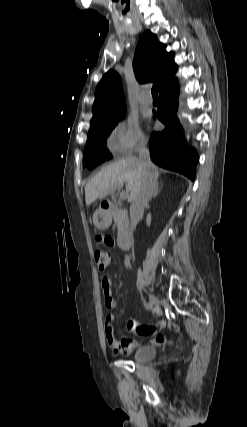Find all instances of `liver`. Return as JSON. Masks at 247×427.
<instances>
[{
    "label": "liver",
    "instance_id": "obj_1",
    "mask_svg": "<svg viewBox=\"0 0 247 427\" xmlns=\"http://www.w3.org/2000/svg\"><path fill=\"white\" fill-rule=\"evenodd\" d=\"M152 171L158 176V169L152 166ZM143 177L139 159L130 156L109 164L98 172L85 186V200L89 205L97 198H104L117 187L126 183V190L132 200L141 187Z\"/></svg>",
    "mask_w": 247,
    "mask_h": 427
}]
</instances>
